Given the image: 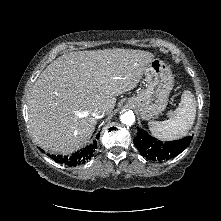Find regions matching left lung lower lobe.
Returning a JSON list of instances; mask_svg holds the SVG:
<instances>
[{"label":"left lung lower lobe","instance_id":"obj_1","mask_svg":"<svg viewBox=\"0 0 221 221\" xmlns=\"http://www.w3.org/2000/svg\"><path fill=\"white\" fill-rule=\"evenodd\" d=\"M192 140L191 136L171 142H161L150 136L146 131L138 129L134 145L143 157L149 160H168L184 151Z\"/></svg>","mask_w":221,"mask_h":221}]
</instances>
